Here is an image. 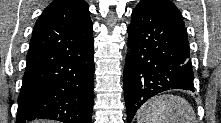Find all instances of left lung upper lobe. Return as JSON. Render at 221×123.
Returning <instances> with one entry per match:
<instances>
[{
  "label": "left lung upper lobe",
  "instance_id": "5c2ea615",
  "mask_svg": "<svg viewBox=\"0 0 221 123\" xmlns=\"http://www.w3.org/2000/svg\"><path fill=\"white\" fill-rule=\"evenodd\" d=\"M146 2L155 11L172 18L173 20L184 24L181 14L170 0H141Z\"/></svg>",
  "mask_w": 221,
  "mask_h": 123
}]
</instances>
